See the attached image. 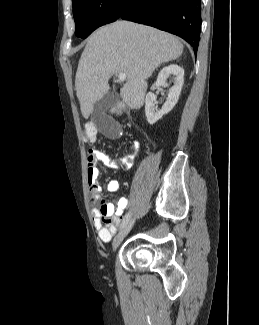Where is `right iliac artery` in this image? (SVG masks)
Here are the masks:
<instances>
[{"mask_svg":"<svg viewBox=\"0 0 259 325\" xmlns=\"http://www.w3.org/2000/svg\"><path fill=\"white\" fill-rule=\"evenodd\" d=\"M130 217H131V212H128L123 218L120 229L124 228V226L129 222Z\"/></svg>","mask_w":259,"mask_h":325,"instance_id":"82829eb1","label":"right iliac artery"}]
</instances>
